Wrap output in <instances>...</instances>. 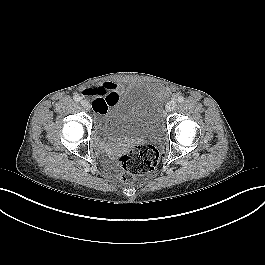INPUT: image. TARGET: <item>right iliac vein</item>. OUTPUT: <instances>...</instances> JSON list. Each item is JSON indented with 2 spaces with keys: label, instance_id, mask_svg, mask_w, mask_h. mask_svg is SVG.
<instances>
[{
  "label": "right iliac vein",
  "instance_id": "obj_1",
  "mask_svg": "<svg viewBox=\"0 0 265 265\" xmlns=\"http://www.w3.org/2000/svg\"><path fill=\"white\" fill-rule=\"evenodd\" d=\"M81 105L86 109V110H90V103H89V101H87V100H82L81 101Z\"/></svg>",
  "mask_w": 265,
  "mask_h": 265
}]
</instances>
